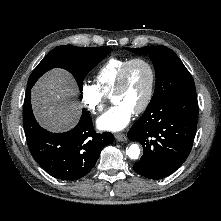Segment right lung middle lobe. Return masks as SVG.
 <instances>
[{
	"mask_svg": "<svg viewBox=\"0 0 221 221\" xmlns=\"http://www.w3.org/2000/svg\"><path fill=\"white\" fill-rule=\"evenodd\" d=\"M112 48L104 47H74L62 45L53 49L31 73L28 85L33 84L45 72L52 68L68 70L76 79L82 93L83 80L86 75L110 52Z\"/></svg>",
	"mask_w": 221,
	"mask_h": 221,
	"instance_id": "1",
	"label": "right lung middle lobe"
}]
</instances>
